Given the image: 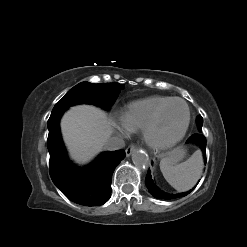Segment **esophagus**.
I'll use <instances>...</instances> for the list:
<instances>
[{
	"label": "esophagus",
	"mask_w": 247,
	"mask_h": 247,
	"mask_svg": "<svg viewBox=\"0 0 247 247\" xmlns=\"http://www.w3.org/2000/svg\"><path fill=\"white\" fill-rule=\"evenodd\" d=\"M135 150L136 146L134 144L129 145L125 150L126 156L129 157Z\"/></svg>",
	"instance_id": "obj_1"
}]
</instances>
